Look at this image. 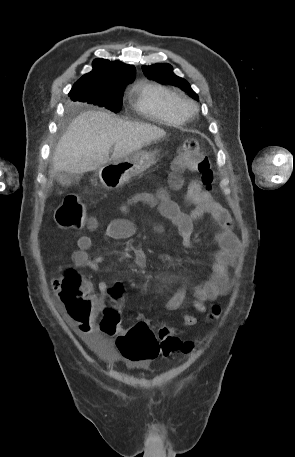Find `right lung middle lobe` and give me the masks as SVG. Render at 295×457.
Returning <instances> with one entry per match:
<instances>
[{
	"mask_svg": "<svg viewBox=\"0 0 295 457\" xmlns=\"http://www.w3.org/2000/svg\"><path fill=\"white\" fill-rule=\"evenodd\" d=\"M124 89L125 87L115 90H93L80 86L72 88L69 96L73 101L87 102L117 113L122 107Z\"/></svg>",
	"mask_w": 295,
	"mask_h": 457,
	"instance_id": "1",
	"label": "right lung middle lobe"
}]
</instances>
